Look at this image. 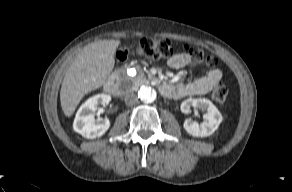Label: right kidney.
Instances as JSON below:
<instances>
[{"instance_id": "1", "label": "right kidney", "mask_w": 292, "mask_h": 192, "mask_svg": "<svg viewBox=\"0 0 292 192\" xmlns=\"http://www.w3.org/2000/svg\"><path fill=\"white\" fill-rule=\"evenodd\" d=\"M111 100L110 95L98 94L83 103L76 113L73 129L83 137L94 139L101 137L110 127L109 119L94 118V112L99 105H107Z\"/></svg>"}]
</instances>
